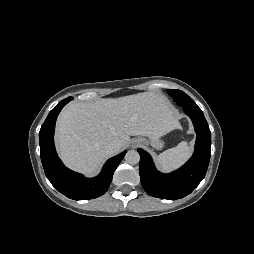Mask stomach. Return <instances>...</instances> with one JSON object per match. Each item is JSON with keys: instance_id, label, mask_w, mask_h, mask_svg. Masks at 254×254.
I'll use <instances>...</instances> for the list:
<instances>
[{"instance_id": "obj_1", "label": "stomach", "mask_w": 254, "mask_h": 254, "mask_svg": "<svg viewBox=\"0 0 254 254\" xmlns=\"http://www.w3.org/2000/svg\"><path fill=\"white\" fill-rule=\"evenodd\" d=\"M139 140L143 145H150L154 149H161L163 147V142L160 139L151 140L140 138Z\"/></svg>"}]
</instances>
